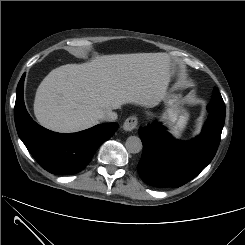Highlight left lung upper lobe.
<instances>
[{
  "label": "left lung upper lobe",
  "instance_id": "obj_1",
  "mask_svg": "<svg viewBox=\"0 0 245 245\" xmlns=\"http://www.w3.org/2000/svg\"><path fill=\"white\" fill-rule=\"evenodd\" d=\"M207 110L208 112H212L221 117H225V104L216 87L213 90L212 100L208 104Z\"/></svg>",
  "mask_w": 245,
  "mask_h": 245
}]
</instances>
